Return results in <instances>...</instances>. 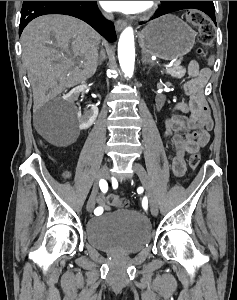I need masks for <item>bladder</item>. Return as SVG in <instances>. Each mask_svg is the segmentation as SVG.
<instances>
[{"mask_svg": "<svg viewBox=\"0 0 237 300\" xmlns=\"http://www.w3.org/2000/svg\"><path fill=\"white\" fill-rule=\"evenodd\" d=\"M86 239L96 249L116 254H134L151 241L152 227L147 217L133 210H118L91 217Z\"/></svg>", "mask_w": 237, "mask_h": 300, "instance_id": "31cf9c89", "label": "bladder"}]
</instances>
